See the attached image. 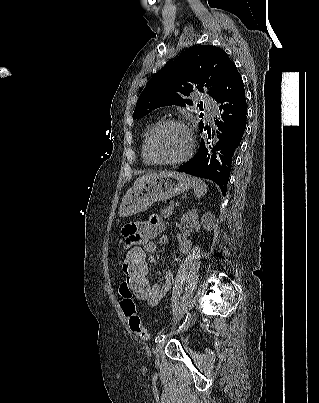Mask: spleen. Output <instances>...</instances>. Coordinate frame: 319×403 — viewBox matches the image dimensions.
I'll list each match as a JSON object with an SVG mask.
<instances>
[{"label":"spleen","mask_w":319,"mask_h":403,"mask_svg":"<svg viewBox=\"0 0 319 403\" xmlns=\"http://www.w3.org/2000/svg\"><path fill=\"white\" fill-rule=\"evenodd\" d=\"M194 194L199 199L207 193L208 186L201 179L193 178Z\"/></svg>","instance_id":"spleen-1"}]
</instances>
